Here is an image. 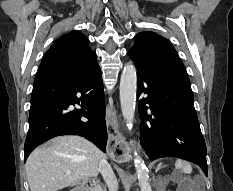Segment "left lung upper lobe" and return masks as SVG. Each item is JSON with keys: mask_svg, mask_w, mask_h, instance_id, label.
Returning <instances> with one entry per match:
<instances>
[{"mask_svg": "<svg viewBox=\"0 0 233 191\" xmlns=\"http://www.w3.org/2000/svg\"><path fill=\"white\" fill-rule=\"evenodd\" d=\"M136 66L173 76L190 84L186 69L171 43L153 32H140L127 53Z\"/></svg>", "mask_w": 233, "mask_h": 191, "instance_id": "obj_1", "label": "left lung upper lobe"}]
</instances>
